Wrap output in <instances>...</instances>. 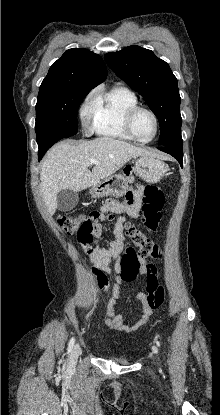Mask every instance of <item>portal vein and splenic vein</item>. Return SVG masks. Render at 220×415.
I'll return each instance as SVG.
<instances>
[{
	"instance_id": "1",
	"label": "portal vein and splenic vein",
	"mask_w": 220,
	"mask_h": 415,
	"mask_svg": "<svg viewBox=\"0 0 220 415\" xmlns=\"http://www.w3.org/2000/svg\"><path fill=\"white\" fill-rule=\"evenodd\" d=\"M98 163H99V161L97 159H94V158L90 159V164L91 165L92 164H98Z\"/></svg>"
}]
</instances>
